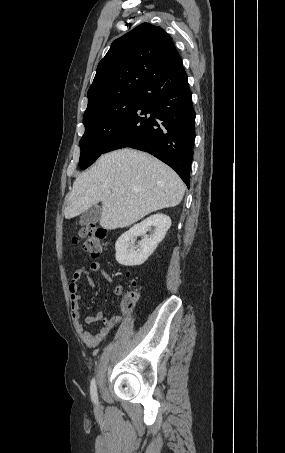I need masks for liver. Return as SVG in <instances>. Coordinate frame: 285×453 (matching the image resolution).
I'll return each mask as SVG.
<instances>
[{
	"instance_id": "6515ba94",
	"label": "liver",
	"mask_w": 285,
	"mask_h": 453,
	"mask_svg": "<svg viewBox=\"0 0 285 453\" xmlns=\"http://www.w3.org/2000/svg\"><path fill=\"white\" fill-rule=\"evenodd\" d=\"M184 192V183L169 166L145 152L124 148L102 155L76 178L64 215L74 218L102 202L100 225L114 230L177 206Z\"/></svg>"
}]
</instances>
